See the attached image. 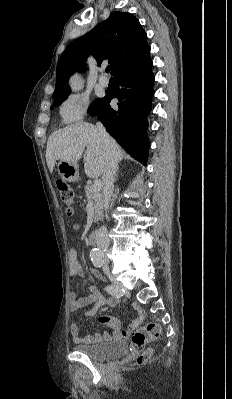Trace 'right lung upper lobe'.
I'll return each mask as SVG.
<instances>
[{
  "label": "right lung upper lobe",
  "instance_id": "right-lung-upper-lobe-1",
  "mask_svg": "<svg viewBox=\"0 0 232 399\" xmlns=\"http://www.w3.org/2000/svg\"><path fill=\"white\" fill-rule=\"evenodd\" d=\"M149 52L147 34L137 18L127 12H112L107 20L72 41L62 53L56 69L53 95L70 92V76L84 69L81 66H84L89 55H93L98 64L108 60L114 74L121 66Z\"/></svg>",
  "mask_w": 232,
  "mask_h": 399
}]
</instances>
